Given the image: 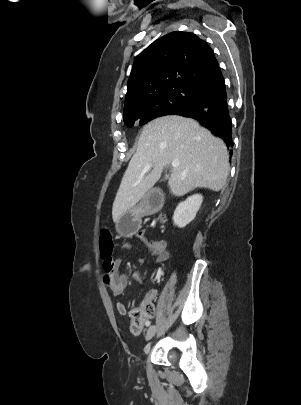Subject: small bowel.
<instances>
[{
	"mask_svg": "<svg viewBox=\"0 0 301 405\" xmlns=\"http://www.w3.org/2000/svg\"><path fill=\"white\" fill-rule=\"evenodd\" d=\"M136 237L147 247L150 253L155 257V263L159 264L165 262L169 258V252L167 250V244L164 240L154 239L147 240L145 237V230H140ZM132 244L127 242L122 245L123 249H130ZM143 261V260H142ZM121 265L120 258H113L111 266H105L104 273L102 275V280L104 284L110 289L114 296H121L125 293L129 285V277L119 272V267ZM131 279L139 284H143L142 276L138 272H134L131 275ZM157 296L156 289L144 288V302L146 304H151ZM117 311L121 315L126 314V308L124 304L117 303ZM149 320L145 321L146 322Z\"/></svg>",
	"mask_w": 301,
	"mask_h": 405,
	"instance_id": "obj_1",
	"label": "small bowel"
}]
</instances>
